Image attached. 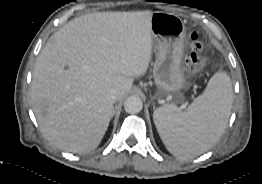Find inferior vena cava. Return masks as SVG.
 Listing matches in <instances>:
<instances>
[{"instance_id":"obj_1","label":"inferior vena cava","mask_w":262,"mask_h":184,"mask_svg":"<svg viewBox=\"0 0 262 184\" xmlns=\"http://www.w3.org/2000/svg\"><path fill=\"white\" fill-rule=\"evenodd\" d=\"M119 96H118V92L115 89H110L107 94H106V99L110 102V103H115L118 100Z\"/></svg>"}]
</instances>
